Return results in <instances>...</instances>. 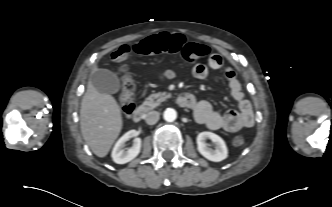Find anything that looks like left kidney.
<instances>
[{
	"instance_id": "obj_1",
	"label": "left kidney",
	"mask_w": 332,
	"mask_h": 207,
	"mask_svg": "<svg viewBox=\"0 0 332 207\" xmlns=\"http://www.w3.org/2000/svg\"><path fill=\"white\" fill-rule=\"evenodd\" d=\"M206 139H210L215 144V149H211L205 143ZM197 149L199 153L206 159L213 162H220L227 158L228 150L224 140L212 132H201L197 136Z\"/></svg>"
}]
</instances>
